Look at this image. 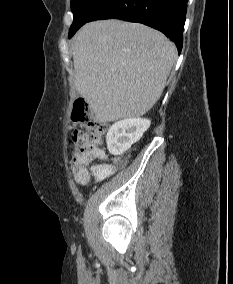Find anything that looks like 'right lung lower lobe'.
I'll use <instances>...</instances> for the list:
<instances>
[{
  "mask_svg": "<svg viewBox=\"0 0 233 284\" xmlns=\"http://www.w3.org/2000/svg\"><path fill=\"white\" fill-rule=\"evenodd\" d=\"M187 1L108 0L94 12L87 22L101 19H121L142 23L164 33L170 40L175 42L180 53Z\"/></svg>",
  "mask_w": 233,
  "mask_h": 284,
  "instance_id": "right-lung-lower-lobe-1",
  "label": "right lung lower lobe"
}]
</instances>
